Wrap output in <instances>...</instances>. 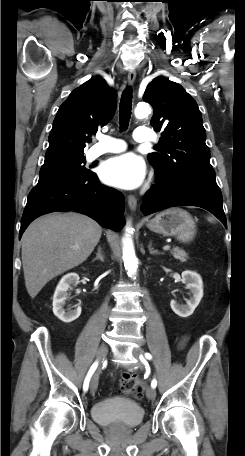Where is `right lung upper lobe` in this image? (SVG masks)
I'll use <instances>...</instances> for the list:
<instances>
[{
	"label": "right lung upper lobe",
	"mask_w": 245,
	"mask_h": 456,
	"mask_svg": "<svg viewBox=\"0 0 245 456\" xmlns=\"http://www.w3.org/2000/svg\"><path fill=\"white\" fill-rule=\"evenodd\" d=\"M115 109L116 95L101 77L74 89L54 119L42 168L84 157L85 143L112 119Z\"/></svg>",
	"instance_id": "obj_1"
}]
</instances>
